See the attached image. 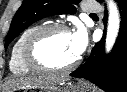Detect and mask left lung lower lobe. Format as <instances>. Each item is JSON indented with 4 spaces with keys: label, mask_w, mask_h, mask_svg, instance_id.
Returning a JSON list of instances; mask_svg holds the SVG:
<instances>
[{
    "label": "left lung lower lobe",
    "mask_w": 127,
    "mask_h": 92,
    "mask_svg": "<svg viewBox=\"0 0 127 92\" xmlns=\"http://www.w3.org/2000/svg\"><path fill=\"white\" fill-rule=\"evenodd\" d=\"M121 25L116 43L109 55L104 53L105 36L95 44L87 61L70 76L85 78L107 92L127 90V0H117ZM107 19V16H105Z\"/></svg>",
    "instance_id": "obj_1"
}]
</instances>
